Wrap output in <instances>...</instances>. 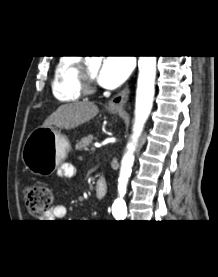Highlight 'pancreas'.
Here are the masks:
<instances>
[{"label": "pancreas", "instance_id": "cf45deb5", "mask_svg": "<svg viewBox=\"0 0 218 277\" xmlns=\"http://www.w3.org/2000/svg\"><path fill=\"white\" fill-rule=\"evenodd\" d=\"M94 137L93 135H88L87 137L82 138L77 144H76V150H86L90 144L92 143Z\"/></svg>", "mask_w": 218, "mask_h": 277}]
</instances>
